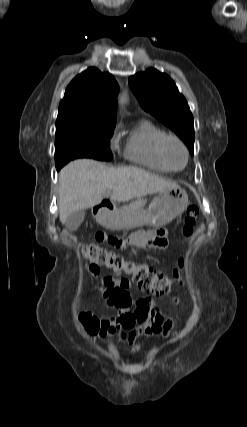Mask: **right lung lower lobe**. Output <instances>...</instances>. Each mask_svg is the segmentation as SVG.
<instances>
[{
    "label": "right lung lower lobe",
    "instance_id": "right-lung-lower-lobe-1",
    "mask_svg": "<svg viewBox=\"0 0 247 427\" xmlns=\"http://www.w3.org/2000/svg\"><path fill=\"white\" fill-rule=\"evenodd\" d=\"M57 170H59L61 167H59L58 165H56Z\"/></svg>",
    "mask_w": 247,
    "mask_h": 427
}]
</instances>
